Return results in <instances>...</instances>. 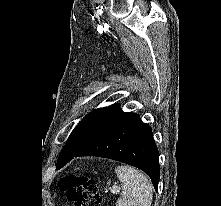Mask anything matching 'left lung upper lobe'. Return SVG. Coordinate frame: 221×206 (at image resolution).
<instances>
[{
    "mask_svg": "<svg viewBox=\"0 0 221 206\" xmlns=\"http://www.w3.org/2000/svg\"><path fill=\"white\" fill-rule=\"evenodd\" d=\"M123 111L118 104L99 108L86 115L69 136L57 163L60 168L101 134Z\"/></svg>",
    "mask_w": 221,
    "mask_h": 206,
    "instance_id": "left-lung-upper-lobe-1",
    "label": "left lung upper lobe"
}]
</instances>
